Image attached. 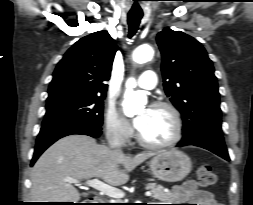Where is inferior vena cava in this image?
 I'll list each match as a JSON object with an SVG mask.
<instances>
[{
  "label": "inferior vena cava",
  "mask_w": 253,
  "mask_h": 205,
  "mask_svg": "<svg viewBox=\"0 0 253 205\" xmlns=\"http://www.w3.org/2000/svg\"><path fill=\"white\" fill-rule=\"evenodd\" d=\"M108 144H109L110 148L114 149L115 151L120 152V149H119L120 142L116 137L109 136L108 137Z\"/></svg>",
  "instance_id": "1"
}]
</instances>
